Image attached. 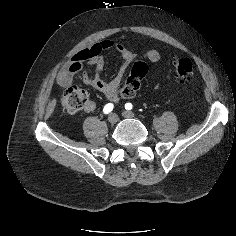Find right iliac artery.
I'll return each mask as SVG.
<instances>
[{"label":"right iliac artery","instance_id":"obj_1","mask_svg":"<svg viewBox=\"0 0 236 236\" xmlns=\"http://www.w3.org/2000/svg\"><path fill=\"white\" fill-rule=\"evenodd\" d=\"M114 108V105L112 103H108L104 106L103 112L104 114H109Z\"/></svg>","mask_w":236,"mask_h":236}]
</instances>
